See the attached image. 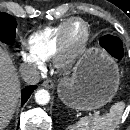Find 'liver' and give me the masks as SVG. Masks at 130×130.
Here are the masks:
<instances>
[{
    "mask_svg": "<svg viewBox=\"0 0 130 130\" xmlns=\"http://www.w3.org/2000/svg\"><path fill=\"white\" fill-rule=\"evenodd\" d=\"M20 97V82L10 56L0 47V130L13 117Z\"/></svg>",
    "mask_w": 130,
    "mask_h": 130,
    "instance_id": "liver-1",
    "label": "liver"
}]
</instances>
